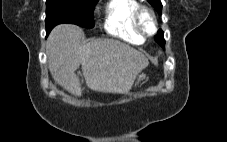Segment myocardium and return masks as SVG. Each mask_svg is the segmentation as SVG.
<instances>
[{
    "instance_id": "1",
    "label": "myocardium",
    "mask_w": 227,
    "mask_h": 142,
    "mask_svg": "<svg viewBox=\"0 0 227 142\" xmlns=\"http://www.w3.org/2000/svg\"><path fill=\"white\" fill-rule=\"evenodd\" d=\"M145 15H148L152 22L153 30L151 32H148L145 28V25L143 22V17ZM134 22H135L136 29L144 37L153 36L158 30V22H157L156 14L151 8L147 6H140L136 10L134 15Z\"/></svg>"
}]
</instances>
